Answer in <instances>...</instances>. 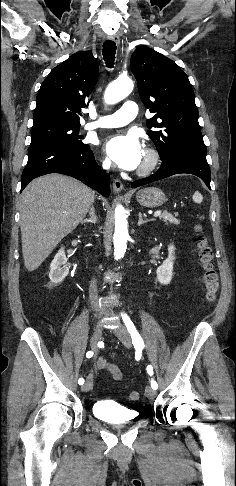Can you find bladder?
<instances>
[{
  "mask_svg": "<svg viewBox=\"0 0 236 486\" xmlns=\"http://www.w3.org/2000/svg\"><path fill=\"white\" fill-rule=\"evenodd\" d=\"M92 412L97 419L111 424H126L138 418L136 411L108 400L97 401L92 407Z\"/></svg>",
  "mask_w": 236,
  "mask_h": 486,
  "instance_id": "obj_1",
  "label": "bladder"
}]
</instances>
